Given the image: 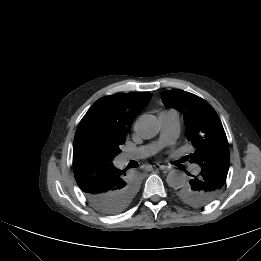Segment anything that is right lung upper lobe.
Segmentation results:
<instances>
[{
  "instance_id": "cb5924a9",
  "label": "right lung upper lobe",
  "mask_w": 261,
  "mask_h": 261,
  "mask_svg": "<svg viewBox=\"0 0 261 261\" xmlns=\"http://www.w3.org/2000/svg\"><path fill=\"white\" fill-rule=\"evenodd\" d=\"M151 93L110 95L97 100L80 121L75 139L85 131L125 137L137 112L151 99ZM81 159L73 153V160Z\"/></svg>"
}]
</instances>
